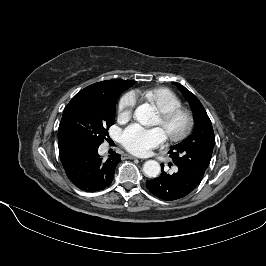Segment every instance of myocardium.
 Returning <instances> with one entry per match:
<instances>
[{
	"instance_id": "1",
	"label": "myocardium",
	"mask_w": 266,
	"mask_h": 266,
	"mask_svg": "<svg viewBox=\"0 0 266 266\" xmlns=\"http://www.w3.org/2000/svg\"><path fill=\"white\" fill-rule=\"evenodd\" d=\"M160 118L162 122L165 124L171 123L179 118L183 119L184 125L181 128V130H179L176 133L167 134L169 139L175 142L180 141L184 139L185 137H187L189 133L192 131L194 122H195L193 114L189 110L182 108V107L169 110L166 112H161Z\"/></svg>"
}]
</instances>
